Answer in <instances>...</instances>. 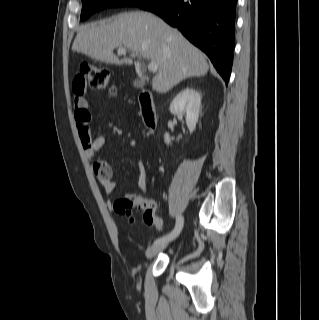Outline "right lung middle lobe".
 <instances>
[{
  "label": "right lung middle lobe",
  "instance_id": "dd1d6c3e",
  "mask_svg": "<svg viewBox=\"0 0 319 320\" xmlns=\"http://www.w3.org/2000/svg\"><path fill=\"white\" fill-rule=\"evenodd\" d=\"M152 0H82L81 20L89 18L93 13L111 7L140 6Z\"/></svg>",
  "mask_w": 319,
  "mask_h": 320
}]
</instances>
